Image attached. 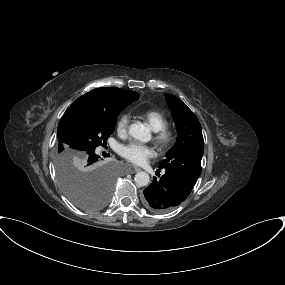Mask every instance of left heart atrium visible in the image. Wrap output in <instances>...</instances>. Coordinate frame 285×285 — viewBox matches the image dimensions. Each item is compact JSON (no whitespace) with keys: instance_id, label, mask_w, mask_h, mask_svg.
<instances>
[{"instance_id":"obj_1","label":"left heart atrium","mask_w":285,"mask_h":285,"mask_svg":"<svg viewBox=\"0 0 285 285\" xmlns=\"http://www.w3.org/2000/svg\"><path fill=\"white\" fill-rule=\"evenodd\" d=\"M122 156L134 165H143L154 156V150L144 144L132 143L121 149Z\"/></svg>"}]
</instances>
